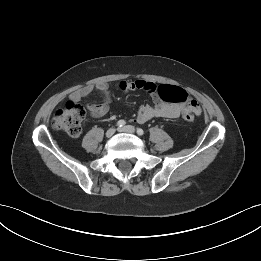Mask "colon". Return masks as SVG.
<instances>
[{
    "mask_svg": "<svg viewBox=\"0 0 261 261\" xmlns=\"http://www.w3.org/2000/svg\"><path fill=\"white\" fill-rule=\"evenodd\" d=\"M158 95L163 101L169 103L186 104L190 99L184 89L172 85L160 86ZM85 117L86 110L82 105L68 102L63 108L58 109L54 113L52 127L75 137L81 133V126ZM183 118L186 121H192L194 113L191 111L186 112Z\"/></svg>",
    "mask_w": 261,
    "mask_h": 261,
    "instance_id": "colon-1",
    "label": "colon"
}]
</instances>
